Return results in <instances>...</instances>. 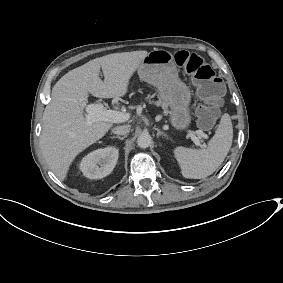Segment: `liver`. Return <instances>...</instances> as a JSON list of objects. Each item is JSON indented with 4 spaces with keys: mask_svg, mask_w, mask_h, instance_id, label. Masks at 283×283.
<instances>
[{
    "mask_svg": "<svg viewBox=\"0 0 283 283\" xmlns=\"http://www.w3.org/2000/svg\"><path fill=\"white\" fill-rule=\"evenodd\" d=\"M148 53L140 50L98 57L69 71L56 82L43 113L40 145L44 159L61 181L67 180L76 157L113 127L110 121L87 124L83 109L89 96L125 97L131 78ZM101 69L105 82L100 79Z\"/></svg>",
    "mask_w": 283,
    "mask_h": 283,
    "instance_id": "6515ba94",
    "label": "liver"
}]
</instances>
